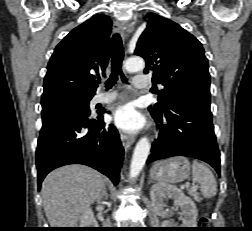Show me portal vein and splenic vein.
I'll return each mask as SVG.
<instances>
[{
	"label": "portal vein and splenic vein",
	"instance_id": "portal-vein-and-splenic-vein-1",
	"mask_svg": "<svg viewBox=\"0 0 252 231\" xmlns=\"http://www.w3.org/2000/svg\"><path fill=\"white\" fill-rule=\"evenodd\" d=\"M188 188H189V184H185L183 187H181V189H188ZM192 188H193V189H197V188H198V185L193 184V185H192Z\"/></svg>",
	"mask_w": 252,
	"mask_h": 231
}]
</instances>
